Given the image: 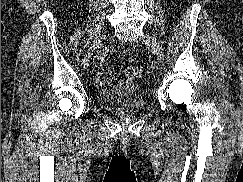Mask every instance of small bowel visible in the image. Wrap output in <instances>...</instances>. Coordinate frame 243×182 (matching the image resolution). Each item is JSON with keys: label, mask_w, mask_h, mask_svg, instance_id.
I'll return each instance as SVG.
<instances>
[{"label": "small bowel", "mask_w": 243, "mask_h": 182, "mask_svg": "<svg viewBox=\"0 0 243 182\" xmlns=\"http://www.w3.org/2000/svg\"><path fill=\"white\" fill-rule=\"evenodd\" d=\"M107 51L100 53L94 60V69H95V82L97 85H102L103 80L100 74V68L104 62L105 57L107 56ZM117 90L122 92L130 91L132 85L127 80H122L117 84Z\"/></svg>", "instance_id": "small-bowel-1"}]
</instances>
